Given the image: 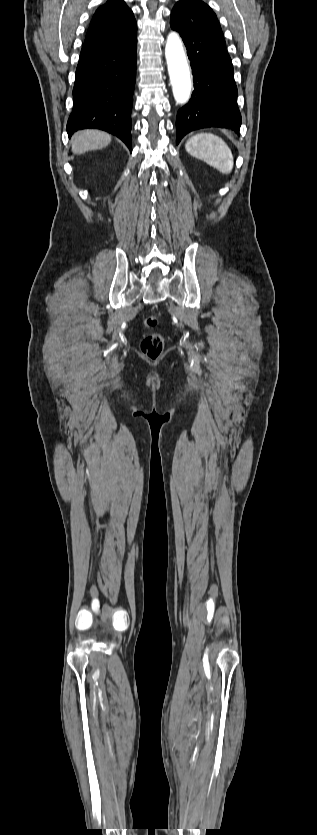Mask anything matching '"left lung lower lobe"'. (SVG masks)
<instances>
[{"label": "left lung lower lobe", "mask_w": 317, "mask_h": 835, "mask_svg": "<svg viewBox=\"0 0 317 835\" xmlns=\"http://www.w3.org/2000/svg\"><path fill=\"white\" fill-rule=\"evenodd\" d=\"M170 25L180 33L191 60L194 91L177 113L176 144L202 128L241 126L234 71L220 24L213 10L194 0H181L172 10Z\"/></svg>", "instance_id": "left-lung-lower-lobe-1"}]
</instances>
